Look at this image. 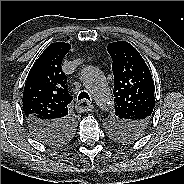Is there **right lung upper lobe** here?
<instances>
[{
	"label": "right lung upper lobe",
	"mask_w": 184,
	"mask_h": 184,
	"mask_svg": "<svg viewBox=\"0 0 184 184\" xmlns=\"http://www.w3.org/2000/svg\"><path fill=\"white\" fill-rule=\"evenodd\" d=\"M71 45L64 42L50 44L34 63L27 77L23 93L26 119L37 118L57 122L70 117L67 76L61 64Z\"/></svg>",
	"instance_id": "obj_1"
}]
</instances>
